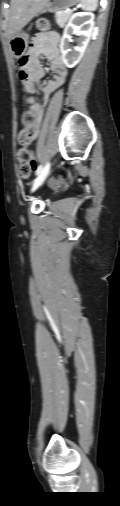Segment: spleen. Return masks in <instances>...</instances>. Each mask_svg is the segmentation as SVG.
Wrapping results in <instances>:
<instances>
[{
  "mask_svg": "<svg viewBox=\"0 0 120 506\" xmlns=\"http://www.w3.org/2000/svg\"><path fill=\"white\" fill-rule=\"evenodd\" d=\"M83 10L95 11L97 9L98 0H80Z\"/></svg>",
  "mask_w": 120,
  "mask_h": 506,
  "instance_id": "3e777b00",
  "label": "spleen"
}]
</instances>
